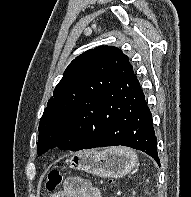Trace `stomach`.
<instances>
[{
  "label": "stomach",
  "instance_id": "obj_1",
  "mask_svg": "<svg viewBox=\"0 0 191 197\" xmlns=\"http://www.w3.org/2000/svg\"><path fill=\"white\" fill-rule=\"evenodd\" d=\"M69 164L71 168L96 176L121 178L132 170L136 162L132 161L129 156L118 152L117 148H110L102 152L80 151L69 159Z\"/></svg>",
  "mask_w": 191,
  "mask_h": 197
}]
</instances>
